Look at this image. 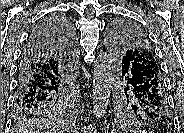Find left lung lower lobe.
Returning a JSON list of instances; mask_svg holds the SVG:
<instances>
[{"instance_id": "1", "label": "left lung lower lobe", "mask_w": 184, "mask_h": 133, "mask_svg": "<svg viewBox=\"0 0 184 133\" xmlns=\"http://www.w3.org/2000/svg\"><path fill=\"white\" fill-rule=\"evenodd\" d=\"M142 69V68H141ZM135 96L141 100L147 113V120H160L171 123L169 109L166 108V92L163 81L142 71H133L129 80ZM167 104L168 99H167Z\"/></svg>"}]
</instances>
